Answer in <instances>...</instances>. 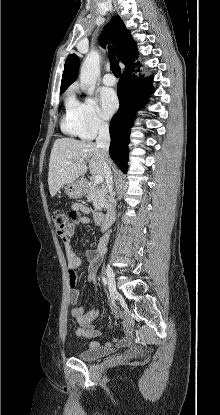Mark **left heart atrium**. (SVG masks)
Instances as JSON below:
<instances>
[{"label":"left heart atrium","instance_id":"left-heart-atrium-1","mask_svg":"<svg viewBox=\"0 0 220 415\" xmlns=\"http://www.w3.org/2000/svg\"><path fill=\"white\" fill-rule=\"evenodd\" d=\"M118 108V99L112 89L103 88L100 91V112L101 115L108 119Z\"/></svg>","mask_w":220,"mask_h":415}]
</instances>
